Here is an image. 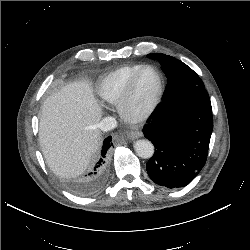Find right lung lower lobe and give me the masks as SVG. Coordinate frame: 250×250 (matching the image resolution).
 Returning a JSON list of instances; mask_svg holds the SVG:
<instances>
[{"instance_id":"1","label":"right lung lower lobe","mask_w":250,"mask_h":250,"mask_svg":"<svg viewBox=\"0 0 250 250\" xmlns=\"http://www.w3.org/2000/svg\"><path fill=\"white\" fill-rule=\"evenodd\" d=\"M112 137H107L102 146L99 160L95 164L91 173H89L85 182L81 185V192L85 195L92 194L100 190L107 178V153L111 148Z\"/></svg>"}]
</instances>
